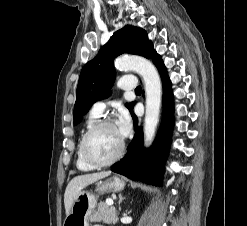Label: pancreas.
I'll list each match as a JSON object with an SVG mask.
<instances>
[{"label": "pancreas", "mask_w": 247, "mask_h": 226, "mask_svg": "<svg viewBox=\"0 0 247 226\" xmlns=\"http://www.w3.org/2000/svg\"><path fill=\"white\" fill-rule=\"evenodd\" d=\"M91 221L104 222L107 224H112L117 221V214L114 207L109 206L105 203H100L98 206V211L93 213L90 217ZM100 226V225H96Z\"/></svg>", "instance_id": "1"}]
</instances>
